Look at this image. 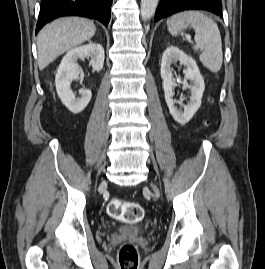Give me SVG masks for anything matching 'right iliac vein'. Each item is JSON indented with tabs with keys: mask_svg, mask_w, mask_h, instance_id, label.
Listing matches in <instances>:
<instances>
[{
	"mask_svg": "<svg viewBox=\"0 0 265 269\" xmlns=\"http://www.w3.org/2000/svg\"><path fill=\"white\" fill-rule=\"evenodd\" d=\"M104 186H106V181H103V182L101 183V187H104Z\"/></svg>",
	"mask_w": 265,
	"mask_h": 269,
	"instance_id": "1",
	"label": "right iliac vein"
}]
</instances>
